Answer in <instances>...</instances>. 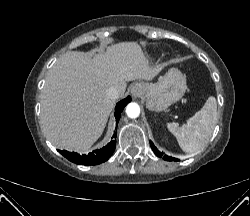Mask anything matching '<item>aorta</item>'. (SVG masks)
Wrapping results in <instances>:
<instances>
[{
  "label": "aorta",
  "instance_id": "762f6f07",
  "mask_svg": "<svg viewBox=\"0 0 250 216\" xmlns=\"http://www.w3.org/2000/svg\"><path fill=\"white\" fill-rule=\"evenodd\" d=\"M126 114L130 118H137L140 114V107L137 103H129L126 106Z\"/></svg>",
  "mask_w": 250,
  "mask_h": 216
}]
</instances>
